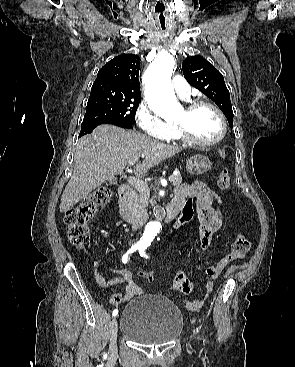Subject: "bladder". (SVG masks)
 Instances as JSON below:
<instances>
[{"label":"bladder","mask_w":295,"mask_h":367,"mask_svg":"<svg viewBox=\"0 0 295 367\" xmlns=\"http://www.w3.org/2000/svg\"><path fill=\"white\" fill-rule=\"evenodd\" d=\"M183 316L168 298L144 294L130 300L120 316L122 335L143 345H158L175 340L182 332Z\"/></svg>","instance_id":"1"}]
</instances>
